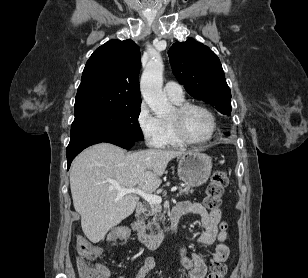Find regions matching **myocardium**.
I'll use <instances>...</instances> for the list:
<instances>
[{
  "label": "myocardium",
  "instance_id": "1",
  "mask_svg": "<svg viewBox=\"0 0 308 278\" xmlns=\"http://www.w3.org/2000/svg\"><path fill=\"white\" fill-rule=\"evenodd\" d=\"M192 108H198L203 110L211 119V131L209 135L203 139H193L190 136L187 135V133L184 131L182 123H181V117L190 109ZM175 113L176 116L173 119H168L169 124L171 125L175 135L185 144H204L209 142L215 135L217 131V120L215 117V114L205 105L200 103H193V102H186L182 103L180 105H177L175 107Z\"/></svg>",
  "mask_w": 308,
  "mask_h": 278
}]
</instances>
